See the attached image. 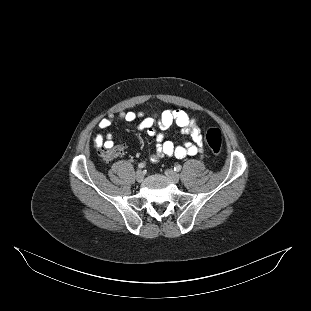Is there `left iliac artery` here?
Wrapping results in <instances>:
<instances>
[{"instance_id":"44dca946","label":"left iliac artery","mask_w":311,"mask_h":311,"mask_svg":"<svg viewBox=\"0 0 311 311\" xmlns=\"http://www.w3.org/2000/svg\"><path fill=\"white\" fill-rule=\"evenodd\" d=\"M181 168H182V167H181V165H179V164H177V165L174 166V170L177 171V172L180 171Z\"/></svg>"}]
</instances>
